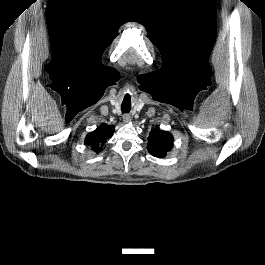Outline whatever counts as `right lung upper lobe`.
Returning a JSON list of instances; mask_svg holds the SVG:
<instances>
[{
  "label": "right lung upper lobe",
  "instance_id": "obj_1",
  "mask_svg": "<svg viewBox=\"0 0 265 265\" xmlns=\"http://www.w3.org/2000/svg\"><path fill=\"white\" fill-rule=\"evenodd\" d=\"M114 129V126H108L106 124L100 125L95 131L86 136L85 144L91 146L95 152L101 151V145L113 134Z\"/></svg>",
  "mask_w": 265,
  "mask_h": 265
}]
</instances>
